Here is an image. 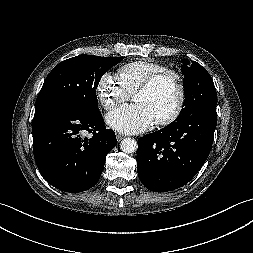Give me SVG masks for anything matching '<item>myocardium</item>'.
<instances>
[{
	"label": "myocardium",
	"mask_w": 253,
	"mask_h": 253,
	"mask_svg": "<svg viewBox=\"0 0 253 253\" xmlns=\"http://www.w3.org/2000/svg\"><path fill=\"white\" fill-rule=\"evenodd\" d=\"M170 81L176 88L177 102L171 113L155 120L158 126H168L174 123L182 114L186 102V89L182 77L173 70H166L152 75L137 90L139 92L153 91L160 83Z\"/></svg>",
	"instance_id": "1"
}]
</instances>
